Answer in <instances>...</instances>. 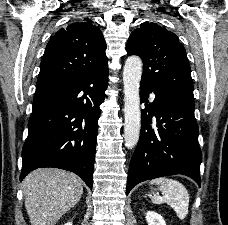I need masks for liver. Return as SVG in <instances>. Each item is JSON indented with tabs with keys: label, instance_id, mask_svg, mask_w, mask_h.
Here are the masks:
<instances>
[{
	"label": "liver",
	"instance_id": "6515ba94",
	"mask_svg": "<svg viewBox=\"0 0 228 225\" xmlns=\"http://www.w3.org/2000/svg\"><path fill=\"white\" fill-rule=\"evenodd\" d=\"M22 185L31 225H56L83 195L81 179L60 169L32 171Z\"/></svg>",
	"mask_w": 228,
	"mask_h": 225
}]
</instances>
